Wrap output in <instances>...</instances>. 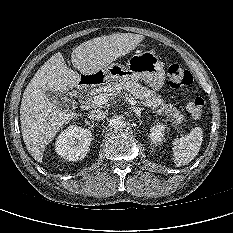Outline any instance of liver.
Wrapping results in <instances>:
<instances>
[{
	"mask_svg": "<svg viewBox=\"0 0 233 233\" xmlns=\"http://www.w3.org/2000/svg\"><path fill=\"white\" fill-rule=\"evenodd\" d=\"M143 35L119 33L96 37L81 43L71 53L73 67H67L62 53L48 59L27 85L20 106V124L28 152L42 162L46 146L76 113L59 109L46 96L47 91L66 93L81 80V74L94 75L116 59L134 50Z\"/></svg>",
	"mask_w": 233,
	"mask_h": 233,
	"instance_id": "1",
	"label": "liver"
}]
</instances>
